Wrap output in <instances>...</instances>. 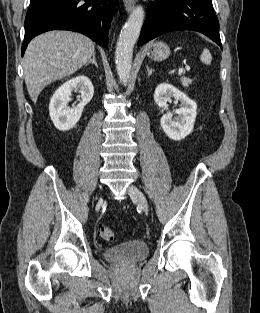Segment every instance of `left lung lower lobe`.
I'll use <instances>...</instances> for the list:
<instances>
[{"mask_svg": "<svg viewBox=\"0 0 260 313\" xmlns=\"http://www.w3.org/2000/svg\"><path fill=\"white\" fill-rule=\"evenodd\" d=\"M175 30L198 31L222 48L219 22L211 0H156L149 3L138 45Z\"/></svg>", "mask_w": 260, "mask_h": 313, "instance_id": "left-lung-lower-lobe-1", "label": "left lung lower lobe"}]
</instances>
